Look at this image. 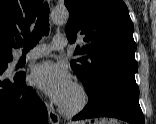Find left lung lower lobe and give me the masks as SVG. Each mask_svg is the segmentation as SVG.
I'll use <instances>...</instances> for the list:
<instances>
[{"instance_id":"left-lung-lower-lobe-1","label":"left lung lower lobe","mask_w":156,"mask_h":124,"mask_svg":"<svg viewBox=\"0 0 156 124\" xmlns=\"http://www.w3.org/2000/svg\"><path fill=\"white\" fill-rule=\"evenodd\" d=\"M96 117H115L131 124H145L139 91L119 84L105 86L89 96L88 104L73 120Z\"/></svg>"}]
</instances>
